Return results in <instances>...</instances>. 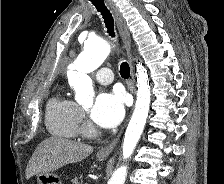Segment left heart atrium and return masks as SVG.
Returning <instances> with one entry per match:
<instances>
[{"label":"left heart atrium","instance_id":"39dd6f15","mask_svg":"<svg viewBox=\"0 0 224 184\" xmlns=\"http://www.w3.org/2000/svg\"><path fill=\"white\" fill-rule=\"evenodd\" d=\"M125 113L124 99L119 92L101 93L91 109V119L103 128L117 126Z\"/></svg>","mask_w":224,"mask_h":184}]
</instances>
